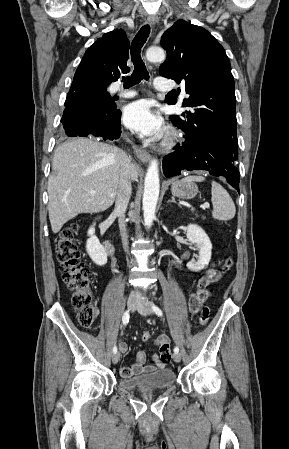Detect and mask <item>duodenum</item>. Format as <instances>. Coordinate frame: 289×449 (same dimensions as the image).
<instances>
[{
  "mask_svg": "<svg viewBox=\"0 0 289 449\" xmlns=\"http://www.w3.org/2000/svg\"><path fill=\"white\" fill-rule=\"evenodd\" d=\"M97 220H98V219H97ZM103 245H104V247H105V249H106V251H107L108 253H112V251H113V245H112V243H111L110 241L104 240V241H103Z\"/></svg>",
  "mask_w": 289,
  "mask_h": 449,
  "instance_id": "duodenum-1",
  "label": "duodenum"
}]
</instances>
